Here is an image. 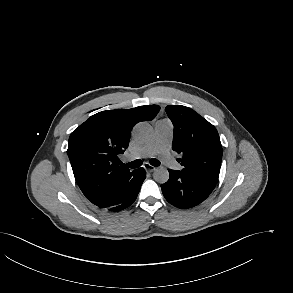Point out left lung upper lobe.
Wrapping results in <instances>:
<instances>
[{
    "label": "left lung upper lobe",
    "mask_w": 293,
    "mask_h": 293,
    "mask_svg": "<svg viewBox=\"0 0 293 293\" xmlns=\"http://www.w3.org/2000/svg\"><path fill=\"white\" fill-rule=\"evenodd\" d=\"M166 112L174 125L172 149L183 156L182 170L218 180L223 150L216 128L185 106L169 105Z\"/></svg>",
    "instance_id": "1"
}]
</instances>
